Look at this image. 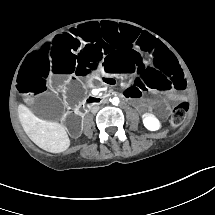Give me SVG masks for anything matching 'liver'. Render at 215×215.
Returning a JSON list of instances; mask_svg holds the SVG:
<instances>
[{
	"label": "liver",
	"instance_id": "1",
	"mask_svg": "<svg viewBox=\"0 0 215 215\" xmlns=\"http://www.w3.org/2000/svg\"><path fill=\"white\" fill-rule=\"evenodd\" d=\"M18 115L25 133L40 148L58 153L69 147L68 134L58 122L39 119L24 105H19Z\"/></svg>",
	"mask_w": 215,
	"mask_h": 215
}]
</instances>
